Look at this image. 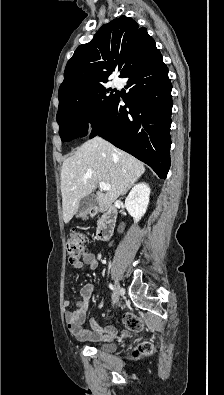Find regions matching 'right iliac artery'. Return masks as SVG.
Segmentation results:
<instances>
[{"mask_svg": "<svg viewBox=\"0 0 224 395\" xmlns=\"http://www.w3.org/2000/svg\"><path fill=\"white\" fill-rule=\"evenodd\" d=\"M109 288L112 290V291H115V287L110 283L109 284Z\"/></svg>", "mask_w": 224, "mask_h": 395, "instance_id": "obj_1", "label": "right iliac artery"}]
</instances>
